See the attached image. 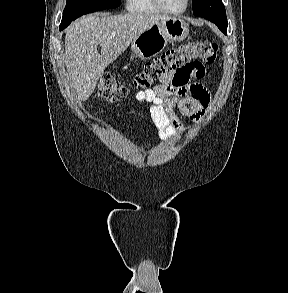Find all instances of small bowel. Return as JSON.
Instances as JSON below:
<instances>
[{
  "label": "small bowel",
  "instance_id": "small-bowel-1",
  "mask_svg": "<svg viewBox=\"0 0 288 293\" xmlns=\"http://www.w3.org/2000/svg\"><path fill=\"white\" fill-rule=\"evenodd\" d=\"M204 76V65L194 62L162 75L156 86L136 93L138 102L151 104V118L162 141L183 132V124L176 110L194 122H199L206 114L211 99L209 92L200 83H190V79H202Z\"/></svg>",
  "mask_w": 288,
  "mask_h": 293
}]
</instances>
